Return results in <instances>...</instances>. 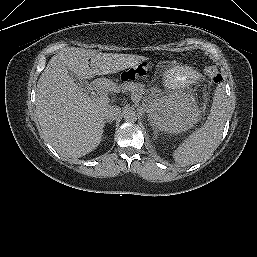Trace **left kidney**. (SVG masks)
<instances>
[{
  "label": "left kidney",
  "mask_w": 257,
  "mask_h": 257,
  "mask_svg": "<svg viewBox=\"0 0 257 257\" xmlns=\"http://www.w3.org/2000/svg\"><path fill=\"white\" fill-rule=\"evenodd\" d=\"M148 116L154 129L169 133L187 131L199 120L195 100L183 93H173L151 102Z\"/></svg>",
  "instance_id": "obj_1"
}]
</instances>
